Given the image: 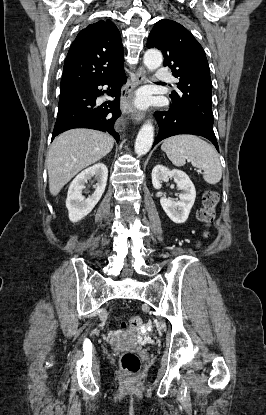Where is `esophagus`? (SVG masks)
<instances>
[{"mask_svg":"<svg viewBox=\"0 0 266 415\" xmlns=\"http://www.w3.org/2000/svg\"><path fill=\"white\" fill-rule=\"evenodd\" d=\"M146 78V71L143 66H140L135 75V81L130 84L129 88L127 89L125 95L122 96V103L124 109L130 113L132 116L135 117L137 123L145 118L146 112L142 110H138L134 105V91L137 87H139L142 83L145 82Z\"/></svg>","mask_w":266,"mask_h":415,"instance_id":"1","label":"esophagus"}]
</instances>
